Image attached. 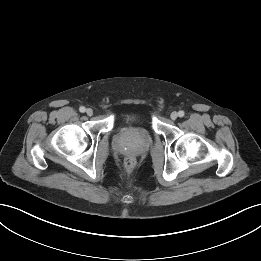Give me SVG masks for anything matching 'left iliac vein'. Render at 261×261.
Returning <instances> with one entry per match:
<instances>
[{"label":"left iliac vein","instance_id":"obj_1","mask_svg":"<svg viewBox=\"0 0 261 261\" xmlns=\"http://www.w3.org/2000/svg\"><path fill=\"white\" fill-rule=\"evenodd\" d=\"M177 117H178V113H177V112H172L171 115H170V118H171L172 120H176Z\"/></svg>","mask_w":261,"mask_h":261}]
</instances>
